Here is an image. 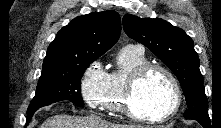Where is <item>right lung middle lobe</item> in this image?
Returning a JSON list of instances; mask_svg holds the SVG:
<instances>
[{"label": "right lung middle lobe", "instance_id": "1", "mask_svg": "<svg viewBox=\"0 0 221 128\" xmlns=\"http://www.w3.org/2000/svg\"><path fill=\"white\" fill-rule=\"evenodd\" d=\"M95 59L97 58L60 68L42 70L35 97L28 107L27 114L62 100L84 107L80 91L81 78Z\"/></svg>", "mask_w": 221, "mask_h": 128}]
</instances>
